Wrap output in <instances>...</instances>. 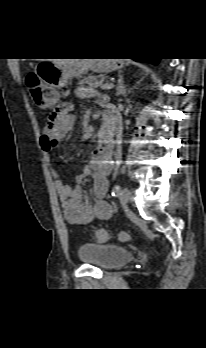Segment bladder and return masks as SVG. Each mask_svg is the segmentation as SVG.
<instances>
[{
  "label": "bladder",
  "mask_w": 206,
  "mask_h": 348,
  "mask_svg": "<svg viewBox=\"0 0 206 348\" xmlns=\"http://www.w3.org/2000/svg\"><path fill=\"white\" fill-rule=\"evenodd\" d=\"M78 256L87 265L113 269L130 262L134 254L123 245L84 243L79 246Z\"/></svg>",
  "instance_id": "bladder-1"
}]
</instances>
